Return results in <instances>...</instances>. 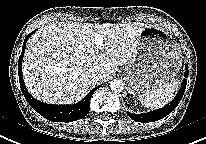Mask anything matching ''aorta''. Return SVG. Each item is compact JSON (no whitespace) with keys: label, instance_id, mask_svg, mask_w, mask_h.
<instances>
[{"label":"aorta","instance_id":"1","mask_svg":"<svg viewBox=\"0 0 206 144\" xmlns=\"http://www.w3.org/2000/svg\"><path fill=\"white\" fill-rule=\"evenodd\" d=\"M110 88L114 92H121L124 89V83L120 79H114L110 82Z\"/></svg>","mask_w":206,"mask_h":144}]
</instances>
